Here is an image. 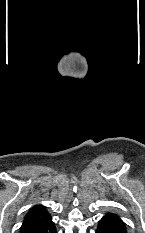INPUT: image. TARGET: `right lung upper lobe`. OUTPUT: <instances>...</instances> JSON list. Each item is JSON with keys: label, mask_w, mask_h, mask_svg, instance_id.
Instances as JSON below:
<instances>
[{"label": "right lung upper lobe", "mask_w": 145, "mask_h": 233, "mask_svg": "<svg viewBox=\"0 0 145 233\" xmlns=\"http://www.w3.org/2000/svg\"><path fill=\"white\" fill-rule=\"evenodd\" d=\"M49 217L51 216L44 206L42 205L33 206L26 214L23 220V224L20 228V232L24 233L25 231L30 230L32 227L43 222Z\"/></svg>", "instance_id": "cb5924a9"}]
</instances>
